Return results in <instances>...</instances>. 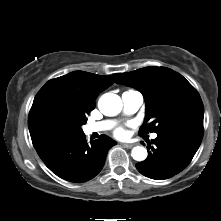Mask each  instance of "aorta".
Wrapping results in <instances>:
<instances>
[{
	"instance_id": "obj_1",
	"label": "aorta",
	"mask_w": 221,
	"mask_h": 221,
	"mask_svg": "<svg viewBox=\"0 0 221 221\" xmlns=\"http://www.w3.org/2000/svg\"><path fill=\"white\" fill-rule=\"evenodd\" d=\"M98 107L104 115L115 116L122 109V100L116 94L105 93L100 97ZM131 156L136 161H143L147 158V150L142 146H136L132 149Z\"/></svg>"
}]
</instances>
